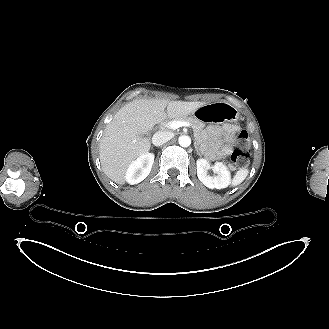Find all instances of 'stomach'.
<instances>
[{
	"label": "stomach",
	"mask_w": 329,
	"mask_h": 329,
	"mask_svg": "<svg viewBox=\"0 0 329 329\" xmlns=\"http://www.w3.org/2000/svg\"><path fill=\"white\" fill-rule=\"evenodd\" d=\"M196 119L203 123L208 122H236L239 118V113L236 109L224 102H214L201 106L193 114Z\"/></svg>",
	"instance_id": "0dacf381"
}]
</instances>
